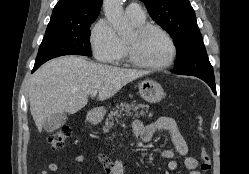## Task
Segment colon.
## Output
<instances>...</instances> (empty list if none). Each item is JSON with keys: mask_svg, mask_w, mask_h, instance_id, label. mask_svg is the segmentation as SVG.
Returning a JSON list of instances; mask_svg holds the SVG:
<instances>
[{"mask_svg": "<svg viewBox=\"0 0 249 174\" xmlns=\"http://www.w3.org/2000/svg\"><path fill=\"white\" fill-rule=\"evenodd\" d=\"M198 130H201V122L198 121ZM71 135V129L68 126L61 127L54 131L47 139V143L54 151L64 148L67 139ZM201 171L207 173L211 169V158L206 149L200 150Z\"/></svg>", "mask_w": 249, "mask_h": 174, "instance_id": "colon-1", "label": "colon"}]
</instances>
